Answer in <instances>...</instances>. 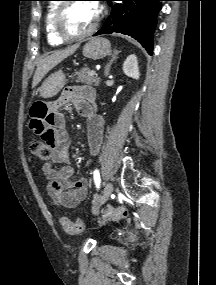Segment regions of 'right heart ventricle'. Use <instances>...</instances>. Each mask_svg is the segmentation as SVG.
Returning a JSON list of instances; mask_svg holds the SVG:
<instances>
[{
    "mask_svg": "<svg viewBox=\"0 0 216 285\" xmlns=\"http://www.w3.org/2000/svg\"><path fill=\"white\" fill-rule=\"evenodd\" d=\"M58 6H59L58 2L50 3L47 8V12L45 16L46 38H47L48 43L51 46H60L65 42L57 37V35L54 32V27H53V20H54V16H55Z\"/></svg>",
    "mask_w": 216,
    "mask_h": 285,
    "instance_id": "1",
    "label": "right heart ventricle"
}]
</instances>
